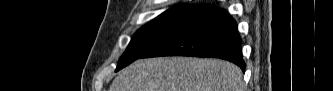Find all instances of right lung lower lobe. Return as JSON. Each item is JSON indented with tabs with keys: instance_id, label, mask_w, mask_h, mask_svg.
Returning a JSON list of instances; mask_svg holds the SVG:
<instances>
[{
	"instance_id": "1",
	"label": "right lung lower lobe",
	"mask_w": 333,
	"mask_h": 91,
	"mask_svg": "<svg viewBox=\"0 0 333 91\" xmlns=\"http://www.w3.org/2000/svg\"><path fill=\"white\" fill-rule=\"evenodd\" d=\"M241 39L234 19L225 11L209 7L185 23L165 41L141 58L158 56L212 57L228 60L245 71Z\"/></svg>"
}]
</instances>
